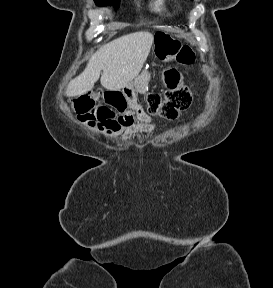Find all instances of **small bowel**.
I'll return each mask as SVG.
<instances>
[{
  "instance_id": "1",
  "label": "small bowel",
  "mask_w": 273,
  "mask_h": 288,
  "mask_svg": "<svg viewBox=\"0 0 273 288\" xmlns=\"http://www.w3.org/2000/svg\"><path fill=\"white\" fill-rule=\"evenodd\" d=\"M154 128L155 124L152 122L150 116L143 110L139 109L137 111V120L133 125L118 130L105 128V132L111 136L121 135L123 140H127L139 132H152Z\"/></svg>"
}]
</instances>
